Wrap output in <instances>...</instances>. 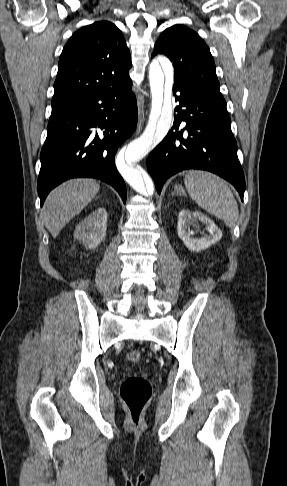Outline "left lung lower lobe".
<instances>
[{
	"mask_svg": "<svg viewBox=\"0 0 287 486\" xmlns=\"http://www.w3.org/2000/svg\"><path fill=\"white\" fill-rule=\"evenodd\" d=\"M176 92L179 105L174 110L171 130L147 159L157 192L177 172L202 169L231 182L243 200L245 179L227 110L186 81L174 79L173 93ZM182 121H186L185 128L180 127Z\"/></svg>",
	"mask_w": 287,
	"mask_h": 486,
	"instance_id": "obj_1",
	"label": "left lung lower lobe"
}]
</instances>
